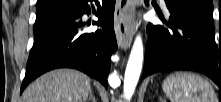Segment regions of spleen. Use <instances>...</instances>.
I'll return each instance as SVG.
<instances>
[{
  "instance_id": "obj_1",
  "label": "spleen",
  "mask_w": 221,
  "mask_h": 102,
  "mask_svg": "<svg viewBox=\"0 0 221 102\" xmlns=\"http://www.w3.org/2000/svg\"><path fill=\"white\" fill-rule=\"evenodd\" d=\"M163 91L171 102H217L211 84L191 72H175L166 77Z\"/></svg>"
}]
</instances>
